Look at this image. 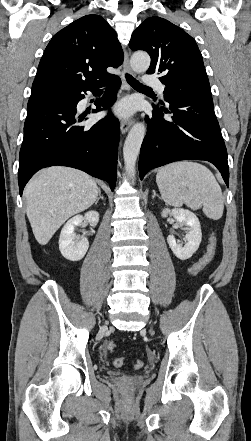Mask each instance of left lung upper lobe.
I'll return each instance as SVG.
<instances>
[{
    "label": "left lung upper lobe",
    "instance_id": "5c2ea615",
    "mask_svg": "<svg viewBox=\"0 0 251 441\" xmlns=\"http://www.w3.org/2000/svg\"><path fill=\"white\" fill-rule=\"evenodd\" d=\"M130 48L145 50L151 57L147 74H161L164 97L211 95L202 55L195 40L166 19L147 18L132 34ZM163 104V102H161Z\"/></svg>",
    "mask_w": 251,
    "mask_h": 441
}]
</instances>
